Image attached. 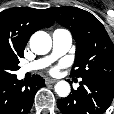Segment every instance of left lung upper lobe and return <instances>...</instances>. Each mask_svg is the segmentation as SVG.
Wrapping results in <instances>:
<instances>
[{"label":"left lung upper lobe","mask_w":114,"mask_h":114,"mask_svg":"<svg viewBox=\"0 0 114 114\" xmlns=\"http://www.w3.org/2000/svg\"><path fill=\"white\" fill-rule=\"evenodd\" d=\"M76 41L72 77H91L114 83V44L104 26L91 13L75 7L48 8Z\"/></svg>","instance_id":"5c2ea615"}]
</instances>
